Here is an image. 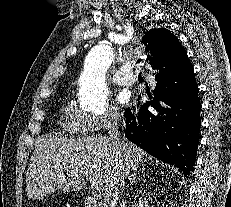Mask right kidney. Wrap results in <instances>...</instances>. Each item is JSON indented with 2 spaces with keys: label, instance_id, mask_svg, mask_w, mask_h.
<instances>
[{
  "label": "right kidney",
  "instance_id": "obj_1",
  "mask_svg": "<svg viewBox=\"0 0 231 207\" xmlns=\"http://www.w3.org/2000/svg\"><path fill=\"white\" fill-rule=\"evenodd\" d=\"M137 207H149L148 201L146 200V196L141 197L139 202L137 203Z\"/></svg>",
  "mask_w": 231,
  "mask_h": 207
}]
</instances>
